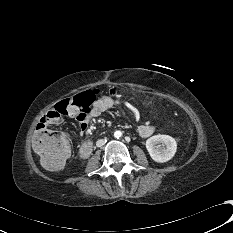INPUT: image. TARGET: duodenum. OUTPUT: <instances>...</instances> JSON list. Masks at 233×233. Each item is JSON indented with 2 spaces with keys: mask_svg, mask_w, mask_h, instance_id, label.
<instances>
[{
  "mask_svg": "<svg viewBox=\"0 0 233 233\" xmlns=\"http://www.w3.org/2000/svg\"><path fill=\"white\" fill-rule=\"evenodd\" d=\"M93 149H94V147H92V151H93ZM92 151L88 155H83L80 151H79V153H80L82 158L87 159L90 156V154L92 153Z\"/></svg>",
  "mask_w": 233,
  "mask_h": 233,
  "instance_id": "410a0bca",
  "label": "duodenum"
}]
</instances>
